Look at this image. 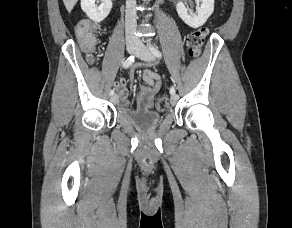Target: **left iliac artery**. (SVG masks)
<instances>
[{
	"label": "left iliac artery",
	"instance_id": "left-iliac-artery-1",
	"mask_svg": "<svg viewBox=\"0 0 292 228\" xmlns=\"http://www.w3.org/2000/svg\"><path fill=\"white\" fill-rule=\"evenodd\" d=\"M148 45H149V49H150V51L152 52V54H153L155 57H157V58H161V57H162L161 52H160L156 47H154V46L151 45L150 43H148ZM175 93H176V90H175L174 86H172V87L170 88V94H171V95H175Z\"/></svg>",
	"mask_w": 292,
	"mask_h": 228
}]
</instances>
